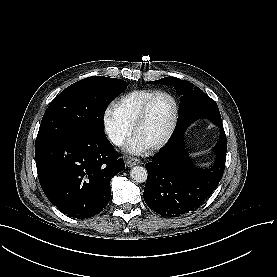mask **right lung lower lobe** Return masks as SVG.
Here are the masks:
<instances>
[{
    "label": "right lung lower lobe",
    "mask_w": 277,
    "mask_h": 277,
    "mask_svg": "<svg viewBox=\"0 0 277 277\" xmlns=\"http://www.w3.org/2000/svg\"><path fill=\"white\" fill-rule=\"evenodd\" d=\"M38 178L47 198L74 218H90L109 202L111 178L125 169L105 133L37 138Z\"/></svg>",
    "instance_id": "right-lung-lower-lobe-1"
}]
</instances>
